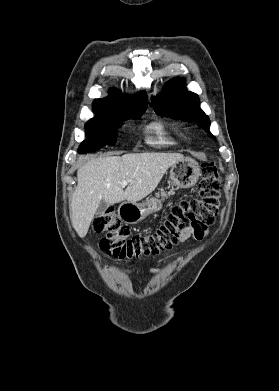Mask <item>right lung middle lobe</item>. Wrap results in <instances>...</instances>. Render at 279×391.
<instances>
[{
	"label": "right lung middle lobe",
	"mask_w": 279,
	"mask_h": 391,
	"mask_svg": "<svg viewBox=\"0 0 279 391\" xmlns=\"http://www.w3.org/2000/svg\"><path fill=\"white\" fill-rule=\"evenodd\" d=\"M146 108L134 112L98 113L85 124L86 140L78 148V153L98 150L106 144L114 145L117 138V127L129 118H138Z\"/></svg>",
	"instance_id": "1"
}]
</instances>
